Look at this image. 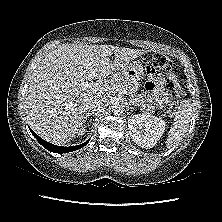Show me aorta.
<instances>
[{
	"instance_id": "obj_1",
	"label": "aorta",
	"mask_w": 222,
	"mask_h": 222,
	"mask_svg": "<svg viewBox=\"0 0 222 222\" xmlns=\"http://www.w3.org/2000/svg\"><path fill=\"white\" fill-rule=\"evenodd\" d=\"M125 110V106L121 103H115L113 106H112V112L113 114L115 115H119V114H122Z\"/></svg>"
}]
</instances>
